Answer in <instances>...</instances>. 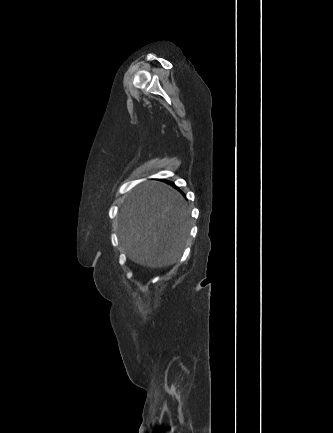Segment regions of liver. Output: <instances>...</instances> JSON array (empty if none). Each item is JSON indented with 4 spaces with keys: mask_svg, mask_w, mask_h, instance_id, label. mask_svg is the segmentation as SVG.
Listing matches in <instances>:
<instances>
[{
    "mask_svg": "<svg viewBox=\"0 0 333 433\" xmlns=\"http://www.w3.org/2000/svg\"><path fill=\"white\" fill-rule=\"evenodd\" d=\"M188 217L179 192L164 183L146 182L122 206L118 236L130 260L162 268L179 260L189 234Z\"/></svg>",
    "mask_w": 333,
    "mask_h": 433,
    "instance_id": "obj_1",
    "label": "liver"
}]
</instances>
